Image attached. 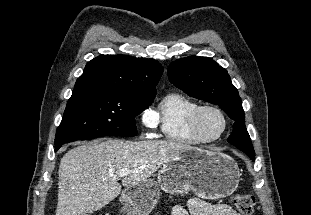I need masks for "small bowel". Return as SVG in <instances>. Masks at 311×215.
Segmentation results:
<instances>
[{"mask_svg":"<svg viewBox=\"0 0 311 215\" xmlns=\"http://www.w3.org/2000/svg\"><path fill=\"white\" fill-rule=\"evenodd\" d=\"M172 215H240L227 204H209L201 199L192 198L186 205H176Z\"/></svg>","mask_w":311,"mask_h":215,"instance_id":"small-bowel-1","label":"small bowel"}]
</instances>
